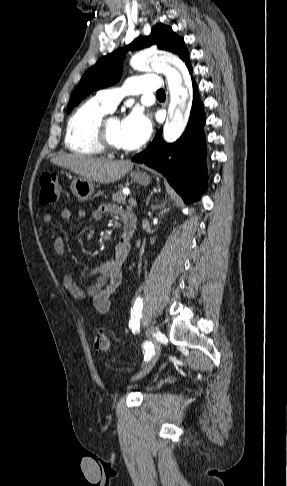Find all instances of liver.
Here are the masks:
<instances>
[{"label":"liver","instance_id":"6515ba94","mask_svg":"<svg viewBox=\"0 0 287 486\" xmlns=\"http://www.w3.org/2000/svg\"><path fill=\"white\" fill-rule=\"evenodd\" d=\"M53 164L67 168L82 178L100 183H112L122 178L133 168L129 160L110 161L90 158L78 154H63L51 159Z\"/></svg>","mask_w":287,"mask_h":486}]
</instances>
